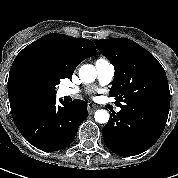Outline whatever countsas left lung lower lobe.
Masks as SVG:
<instances>
[{
	"mask_svg": "<svg viewBox=\"0 0 178 178\" xmlns=\"http://www.w3.org/2000/svg\"><path fill=\"white\" fill-rule=\"evenodd\" d=\"M166 122L121 108L112 114L102 131L104 142L112 152L134 156L149 149L161 136Z\"/></svg>",
	"mask_w": 178,
	"mask_h": 178,
	"instance_id": "0a47b994",
	"label": "left lung lower lobe"
}]
</instances>
